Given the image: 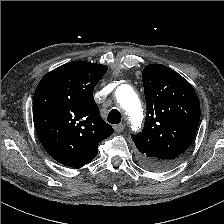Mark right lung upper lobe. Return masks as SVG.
<instances>
[{"label":"right lung upper lobe","instance_id":"cb5924a9","mask_svg":"<svg viewBox=\"0 0 224 224\" xmlns=\"http://www.w3.org/2000/svg\"><path fill=\"white\" fill-rule=\"evenodd\" d=\"M107 66L86 61L66 63L47 73L33 98V121L46 152L59 163L79 168L98 153L113 128L100 116L93 89Z\"/></svg>","mask_w":224,"mask_h":224}]
</instances>
